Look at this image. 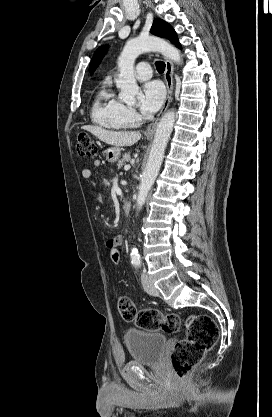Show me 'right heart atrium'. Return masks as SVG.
I'll return each mask as SVG.
<instances>
[{"label":"right heart atrium","mask_w":272,"mask_h":417,"mask_svg":"<svg viewBox=\"0 0 272 417\" xmlns=\"http://www.w3.org/2000/svg\"><path fill=\"white\" fill-rule=\"evenodd\" d=\"M121 111H122L123 118L130 125L135 124L138 121L139 115H138L137 111L133 107L127 106V105H122L121 106Z\"/></svg>","instance_id":"1"}]
</instances>
